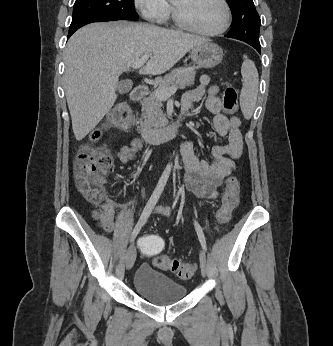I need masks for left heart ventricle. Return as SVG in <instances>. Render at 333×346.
<instances>
[{
    "label": "left heart ventricle",
    "mask_w": 333,
    "mask_h": 346,
    "mask_svg": "<svg viewBox=\"0 0 333 346\" xmlns=\"http://www.w3.org/2000/svg\"><path fill=\"white\" fill-rule=\"evenodd\" d=\"M180 14L188 22L203 30L219 28L225 18L219 0H172Z\"/></svg>",
    "instance_id": "1"
}]
</instances>
